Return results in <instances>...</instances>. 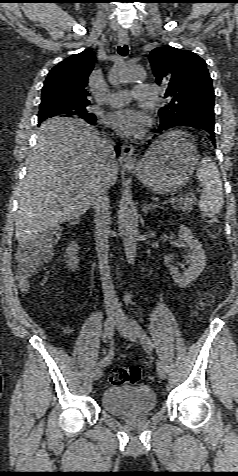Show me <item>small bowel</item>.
<instances>
[{
    "label": "small bowel",
    "instance_id": "obj_1",
    "mask_svg": "<svg viewBox=\"0 0 238 476\" xmlns=\"http://www.w3.org/2000/svg\"><path fill=\"white\" fill-rule=\"evenodd\" d=\"M68 330H69V331H72V328H71V327H69V329H68Z\"/></svg>",
    "mask_w": 238,
    "mask_h": 476
}]
</instances>
